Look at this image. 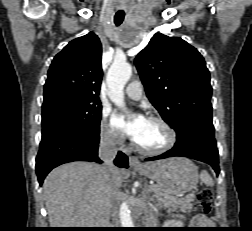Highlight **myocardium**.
I'll return each instance as SVG.
<instances>
[{"label":"myocardium","mask_w":252,"mask_h":231,"mask_svg":"<svg viewBox=\"0 0 252 231\" xmlns=\"http://www.w3.org/2000/svg\"><path fill=\"white\" fill-rule=\"evenodd\" d=\"M148 120L155 121V122L161 124L167 132L168 140L164 146L157 148V149L144 148V147L140 146L134 140L133 144H134L135 149L142 154L151 155V156L161 155V154L168 152L171 148H173V146L175 145V143L177 141V133H176L175 129L172 127V125L166 119H164L160 116L153 115V116H150L148 118Z\"/></svg>","instance_id":"f54148a6"}]
</instances>
